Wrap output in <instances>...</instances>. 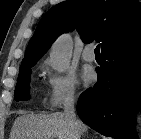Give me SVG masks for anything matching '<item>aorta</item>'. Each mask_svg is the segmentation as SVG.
Instances as JSON below:
<instances>
[{
  "instance_id": "obj_1",
  "label": "aorta",
  "mask_w": 141,
  "mask_h": 139,
  "mask_svg": "<svg viewBox=\"0 0 141 139\" xmlns=\"http://www.w3.org/2000/svg\"><path fill=\"white\" fill-rule=\"evenodd\" d=\"M72 55V40L69 35L60 36L52 45L50 60L53 67L63 72L67 69Z\"/></svg>"
}]
</instances>
